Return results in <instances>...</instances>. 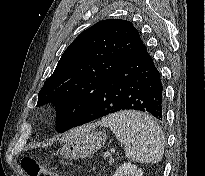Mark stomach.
<instances>
[{
  "label": "stomach",
  "instance_id": "obj_1",
  "mask_svg": "<svg viewBox=\"0 0 205 176\" xmlns=\"http://www.w3.org/2000/svg\"><path fill=\"white\" fill-rule=\"evenodd\" d=\"M95 127L96 125L85 126V130L67 141L60 151L62 157L69 160L85 158L100 149L105 144L107 136L104 132H95Z\"/></svg>",
  "mask_w": 205,
  "mask_h": 176
}]
</instances>
